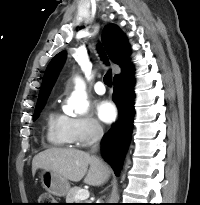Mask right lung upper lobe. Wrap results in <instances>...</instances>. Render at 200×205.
I'll return each instance as SVG.
<instances>
[{
    "label": "right lung upper lobe",
    "mask_w": 200,
    "mask_h": 205,
    "mask_svg": "<svg viewBox=\"0 0 200 205\" xmlns=\"http://www.w3.org/2000/svg\"><path fill=\"white\" fill-rule=\"evenodd\" d=\"M102 42L110 59L114 63H119L123 72L132 66L130 60H128L127 38L116 25L109 24L104 28ZM65 59L66 52L62 51L51 60L44 74L38 101L48 98Z\"/></svg>",
    "instance_id": "obj_1"
}]
</instances>
